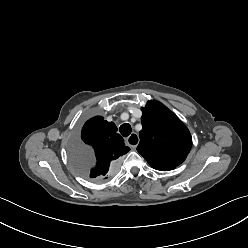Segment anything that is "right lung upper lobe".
Instances as JSON below:
<instances>
[{
    "label": "right lung upper lobe",
    "mask_w": 248,
    "mask_h": 248,
    "mask_svg": "<svg viewBox=\"0 0 248 248\" xmlns=\"http://www.w3.org/2000/svg\"><path fill=\"white\" fill-rule=\"evenodd\" d=\"M81 138L92 151L93 161L87 177L95 181L104 178L118 163L119 158L130 150L117 133L116 125L101 116L91 118L85 123Z\"/></svg>",
    "instance_id": "1"
}]
</instances>
